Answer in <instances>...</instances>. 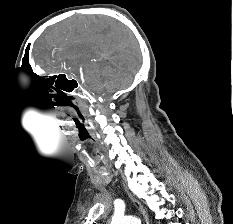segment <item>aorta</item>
Wrapping results in <instances>:
<instances>
[{
  "label": "aorta",
  "instance_id": "obj_1",
  "mask_svg": "<svg viewBox=\"0 0 233 224\" xmlns=\"http://www.w3.org/2000/svg\"><path fill=\"white\" fill-rule=\"evenodd\" d=\"M111 224H141L140 220L133 216H115Z\"/></svg>",
  "mask_w": 233,
  "mask_h": 224
}]
</instances>
